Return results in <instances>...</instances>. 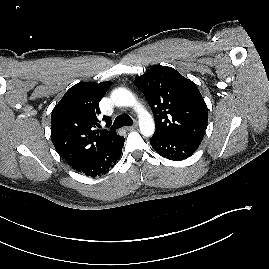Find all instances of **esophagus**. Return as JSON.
<instances>
[{
  "label": "esophagus",
  "instance_id": "34e87169",
  "mask_svg": "<svg viewBox=\"0 0 269 269\" xmlns=\"http://www.w3.org/2000/svg\"><path fill=\"white\" fill-rule=\"evenodd\" d=\"M135 128H137V124H133L131 126H127L125 129L128 130V131H131V130H134Z\"/></svg>",
  "mask_w": 269,
  "mask_h": 269
}]
</instances>
